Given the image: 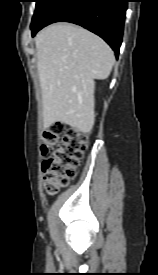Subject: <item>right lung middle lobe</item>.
Returning a JSON list of instances; mask_svg holds the SVG:
<instances>
[{
	"label": "right lung middle lobe",
	"mask_w": 158,
	"mask_h": 275,
	"mask_svg": "<svg viewBox=\"0 0 158 275\" xmlns=\"http://www.w3.org/2000/svg\"><path fill=\"white\" fill-rule=\"evenodd\" d=\"M56 0H36V8L32 18L31 26L35 25L52 6Z\"/></svg>",
	"instance_id": "right-lung-middle-lobe-1"
}]
</instances>
